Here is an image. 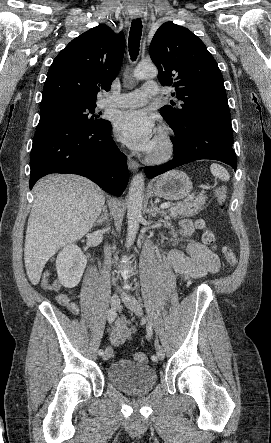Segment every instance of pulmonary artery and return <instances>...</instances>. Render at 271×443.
Instances as JSON below:
<instances>
[{
	"label": "pulmonary artery",
	"mask_w": 271,
	"mask_h": 443,
	"mask_svg": "<svg viewBox=\"0 0 271 443\" xmlns=\"http://www.w3.org/2000/svg\"><path fill=\"white\" fill-rule=\"evenodd\" d=\"M158 93L154 83L147 82L140 89L129 93L106 96L99 103L100 108H135L145 105Z\"/></svg>",
	"instance_id": "pulmonary-artery-1"
}]
</instances>
